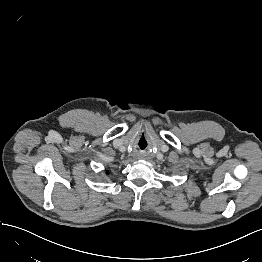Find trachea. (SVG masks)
<instances>
[{"mask_svg":"<svg viewBox=\"0 0 262 262\" xmlns=\"http://www.w3.org/2000/svg\"><path fill=\"white\" fill-rule=\"evenodd\" d=\"M138 144H139V146H140L141 148H145V147H146L147 141H146V139H145L144 136H141V137H140Z\"/></svg>","mask_w":262,"mask_h":262,"instance_id":"trachea-1","label":"trachea"}]
</instances>
